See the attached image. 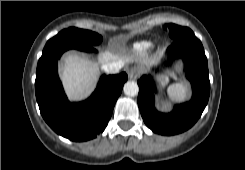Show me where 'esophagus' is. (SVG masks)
<instances>
[{
    "instance_id": "1",
    "label": "esophagus",
    "mask_w": 245,
    "mask_h": 170,
    "mask_svg": "<svg viewBox=\"0 0 245 170\" xmlns=\"http://www.w3.org/2000/svg\"><path fill=\"white\" fill-rule=\"evenodd\" d=\"M139 75V71L137 69H131L129 72H128V76L130 79H136Z\"/></svg>"
}]
</instances>
